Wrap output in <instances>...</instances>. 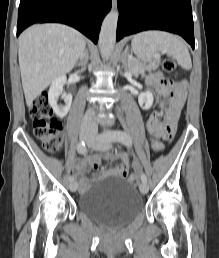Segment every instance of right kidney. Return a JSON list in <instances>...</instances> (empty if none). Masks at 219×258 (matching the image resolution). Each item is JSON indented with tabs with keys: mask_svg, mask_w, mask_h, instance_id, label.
<instances>
[{
	"mask_svg": "<svg viewBox=\"0 0 219 258\" xmlns=\"http://www.w3.org/2000/svg\"><path fill=\"white\" fill-rule=\"evenodd\" d=\"M65 83L66 76H59L52 82L50 89L48 91L49 104L51 105L54 113L60 118H63L68 114V111L72 103V95L63 92V86ZM60 96H62L65 102V105L63 106H59L57 104L58 98Z\"/></svg>",
	"mask_w": 219,
	"mask_h": 258,
	"instance_id": "obj_1",
	"label": "right kidney"
}]
</instances>
